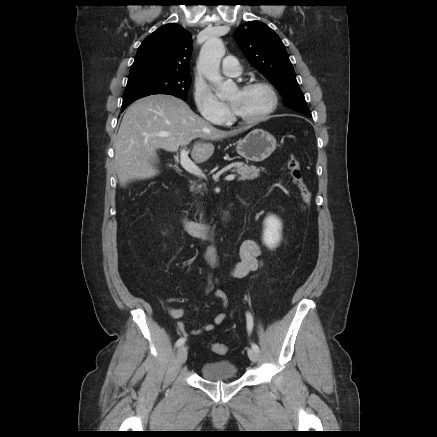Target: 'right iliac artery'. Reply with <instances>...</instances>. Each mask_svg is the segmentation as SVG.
<instances>
[{"label": "right iliac artery", "mask_w": 437, "mask_h": 437, "mask_svg": "<svg viewBox=\"0 0 437 437\" xmlns=\"http://www.w3.org/2000/svg\"><path fill=\"white\" fill-rule=\"evenodd\" d=\"M185 341H186L185 338H183V337L179 338L176 342V347L182 346L185 343Z\"/></svg>", "instance_id": "82829eb1"}]
</instances>
